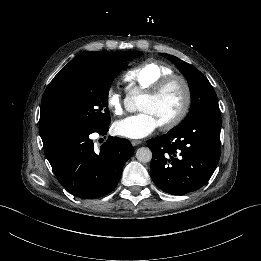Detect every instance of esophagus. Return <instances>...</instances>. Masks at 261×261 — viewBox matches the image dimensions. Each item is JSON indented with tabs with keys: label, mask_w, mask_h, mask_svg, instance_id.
<instances>
[{
	"label": "esophagus",
	"mask_w": 261,
	"mask_h": 261,
	"mask_svg": "<svg viewBox=\"0 0 261 261\" xmlns=\"http://www.w3.org/2000/svg\"><path fill=\"white\" fill-rule=\"evenodd\" d=\"M141 143H142V141H141V140H136V139H134V140H131V144H132L133 146L140 145Z\"/></svg>",
	"instance_id": "34e87169"
}]
</instances>
